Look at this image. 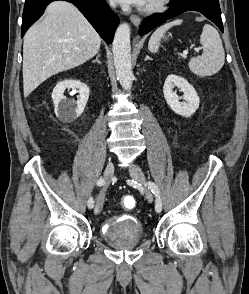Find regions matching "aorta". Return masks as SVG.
Masks as SVG:
<instances>
[{
  "mask_svg": "<svg viewBox=\"0 0 249 294\" xmlns=\"http://www.w3.org/2000/svg\"><path fill=\"white\" fill-rule=\"evenodd\" d=\"M112 51L117 79L124 89H131L133 72L131 62L130 26L127 23L118 26L112 43Z\"/></svg>",
  "mask_w": 249,
  "mask_h": 294,
  "instance_id": "762f6f07",
  "label": "aorta"
}]
</instances>
